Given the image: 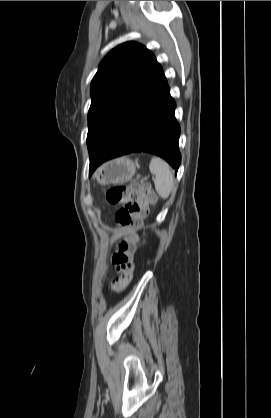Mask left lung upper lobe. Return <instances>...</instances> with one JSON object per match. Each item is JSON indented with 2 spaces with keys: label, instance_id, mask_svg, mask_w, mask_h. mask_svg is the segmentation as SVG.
Wrapping results in <instances>:
<instances>
[{
  "label": "left lung upper lobe",
  "instance_id": "5c2ea615",
  "mask_svg": "<svg viewBox=\"0 0 271 418\" xmlns=\"http://www.w3.org/2000/svg\"><path fill=\"white\" fill-rule=\"evenodd\" d=\"M144 46L126 42L111 50L91 82L87 146L90 160L162 74Z\"/></svg>",
  "mask_w": 271,
  "mask_h": 418
}]
</instances>
